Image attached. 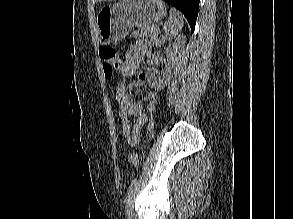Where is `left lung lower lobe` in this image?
I'll use <instances>...</instances> for the list:
<instances>
[{
    "instance_id": "1",
    "label": "left lung lower lobe",
    "mask_w": 293,
    "mask_h": 219,
    "mask_svg": "<svg viewBox=\"0 0 293 219\" xmlns=\"http://www.w3.org/2000/svg\"><path fill=\"white\" fill-rule=\"evenodd\" d=\"M180 10L189 22L191 30L194 31L200 0H165Z\"/></svg>"
}]
</instances>
